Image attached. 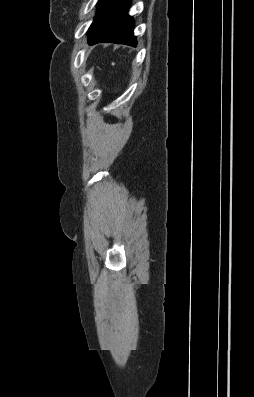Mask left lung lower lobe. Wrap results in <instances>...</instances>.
<instances>
[{"label": "left lung lower lobe", "mask_w": 254, "mask_h": 397, "mask_svg": "<svg viewBox=\"0 0 254 397\" xmlns=\"http://www.w3.org/2000/svg\"><path fill=\"white\" fill-rule=\"evenodd\" d=\"M130 3L131 0H109L99 25L88 36L90 45L99 42L137 45L133 34L134 21L127 14Z\"/></svg>", "instance_id": "0a47b994"}]
</instances>
